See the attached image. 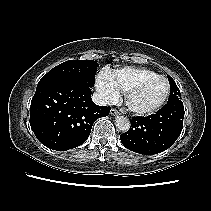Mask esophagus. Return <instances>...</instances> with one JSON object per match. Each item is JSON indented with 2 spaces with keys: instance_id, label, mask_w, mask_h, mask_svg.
Listing matches in <instances>:
<instances>
[{
  "instance_id": "esophagus-1",
  "label": "esophagus",
  "mask_w": 211,
  "mask_h": 211,
  "mask_svg": "<svg viewBox=\"0 0 211 211\" xmlns=\"http://www.w3.org/2000/svg\"><path fill=\"white\" fill-rule=\"evenodd\" d=\"M110 114H111L112 116H116V115L119 114V112H118V110H116V109H111Z\"/></svg>"
}]
</instances>
